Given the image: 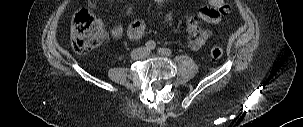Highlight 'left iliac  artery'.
<instances>
[{"mask_svg": "<svg viewBox=\"0 0 303 127\" xmlns=\"http://www.w3.org/2000/svg\"><path fill=\"white\" fill-rule=\"evenodd\" d=\"M158 53L163 56H170L172 54V51L168 48H158Z\"/></svg>", "mask_w": 303, "mask_h": 127, "instance_id": "obj_1", "label": "left iliac artery"}]
</instances>
